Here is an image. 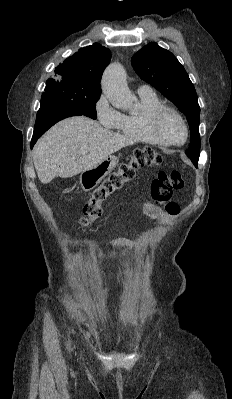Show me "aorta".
<instances>
[{"label":"aorta","instance_id":"1","mask_svg":"<svg viewBox=\"0 0 232 399\" xmlns=\"http://www.w3.org/2000/svg\"><path fill=\"white\" fill-rule=\"evenodd\" d=\"M101 85L103 93L114 107L127 109L132 105L134 97L127 86L126 73L121 64L112 63L106 68Z\"/></svg>","mask_w":232,"mask_h":399}]
</instances>
